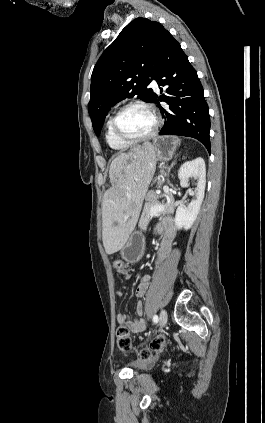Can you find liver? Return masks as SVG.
Listing matches in <instances>:
<instances>
[{"label": "liver", "mask_w": 265, "mask_h": 423, "mask_svg": "<svg viewBox=\"0 0 265 423\" xmlns=\"http://www.w3.org/2000/svg\"><path fill=\"white\" fill-rule=\"evenodd\" d=\"M156 161L155 148L149 142L121 153L112 161L109 169L112 187L104 194L102 205V240L107 254L122 249L134 230Z\"/></svg>", "instance_id": "1"}]
</instances>
